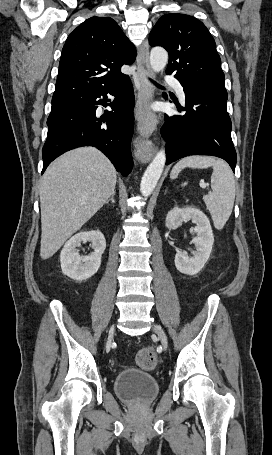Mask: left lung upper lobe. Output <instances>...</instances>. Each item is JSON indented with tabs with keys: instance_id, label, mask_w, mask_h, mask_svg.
Returning a JSON list of instances; mask_svg holds the SVG:
<instances>
[{
	"instance_id": "left-lung-upper-lobe-1",
	"label": "left lung upper lobe",
	"mask_w": 272,
	"mask_h": 455,
	"mask_svg": "<svg viewBox=\"0 0 272 455\" xmlns=\"http://www.w3.org/2000/svg\"><path fill=\"white\" fill-rule=\"evenodd\" d=\"M149 43L168 51L166 73L174 74L180 82L224 86L215 41L198 19L185 14L163 15L153 27Z\"/></svg>"
}]
</instances>
